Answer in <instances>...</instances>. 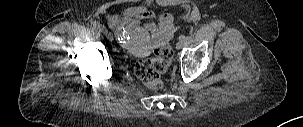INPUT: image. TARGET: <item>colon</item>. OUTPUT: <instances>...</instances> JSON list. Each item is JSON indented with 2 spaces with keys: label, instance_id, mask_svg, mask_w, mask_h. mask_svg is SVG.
<instances>
[{
  "label": "colon",
  "instance_id": "1",
  "mask_svg": "<svg viewBox=\"0 0 303 127\" xmlns=\"http://www.w3.org/2000/svg\"><path fill=\"white\" fill-rule=\"evenodd\" d=\"M173 56L174 53L170 47H158L153 57L137 62L134 69L136 77L148 88L161 89L163 86L162 75L171 63Z\"/></svg>",
  "mask_w": 303,
  "mask_h": 127
}]
</instances>
